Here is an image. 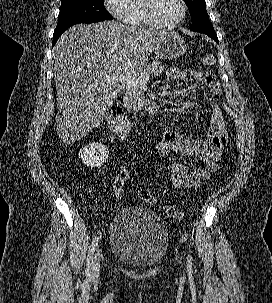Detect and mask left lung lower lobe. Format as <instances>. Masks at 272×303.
I'll return each mask as SVG.
<instances>
[{
  "label": "left lung lower lobe",
  "instance_id": "left-lung-lower-lobe-1",
  "mask_svg": "<svg viewBox=\"0 0 272 303\" xmlns=\"http://www.w3.org/2000/svg\"><path fill=\"white\" fill-rule=\"evenodd\" d=\"M201 33H204V34L208 35L209 37H211L212 39H214L216 42H218V38H217V35H216L215 31H212V32H201Z\"/></svg>",
  "mask_w": 272,
  "mask_h": 303
}]
</instances>
